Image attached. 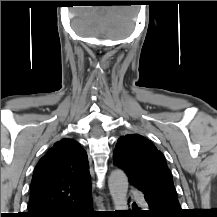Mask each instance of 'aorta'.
Segmentation results:
<instances>
[{
    "mask_svg": "<svg viewBox=\"0 0 217 217\" xmlns=\"http://www.w3.org/2000/svg\"><path fill=\"white\" fill-rule=\"evenodd\" d=\"M108 187L115 210H128V178L122 170H114L108 179Z\"/></svg>",
    "mask_w": 217,
    "mask_h": 217,
    "instance_id": "obj_1",
    "label": "aorta"
}]
</instances>
